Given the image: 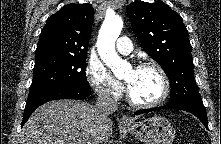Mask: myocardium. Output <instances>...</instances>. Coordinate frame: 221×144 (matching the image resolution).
Segmentation results:
<instances>
[{"label": "myocardium", "instance_id": "f54148a6", "mask_svg": "<svg viewBox=\"0 0 221 144\" xmlns=\"http://www.w3.org/2000/svg\"><path fill=\"white\" fill-rule=\"evenodd\" d=\"M145 68H153L160 75L161 80H162L161 95L156 100H154L152 102H139L133 97L129 86L127 87L126 95H127L128 102L134 107L154 108V107H157V106L161 105L162 103H164L165 100L168 98V95L170 92V82H169V78H168L165 70L156 62H152V61L141 62L134 69H145Z\"/></svg>", "mask_w": 221, "mask_h": 144}]
</instances>
